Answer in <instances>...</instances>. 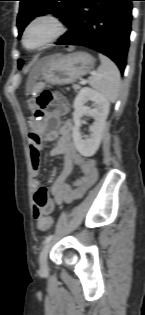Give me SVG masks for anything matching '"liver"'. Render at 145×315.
I'll return each instance as SVG.
<instances>
[{"instance_id":"6515ba94","label":"liver","mask_w":145,"mask_h":315,"mask_svg":"<svg viewBox=\"0 0 145 315\" xmlns=\"http://www.w3.org/2000/svg\"><path fill=\"white\" fill-rule=\"evenodd\" d=\"M45 66V62L40 61L36 64V66L33 68L29 75V79L27 82V91L30 90L31 86L35 83V81L38 79L43 67Z\"/></svg>"}]
</instances>
